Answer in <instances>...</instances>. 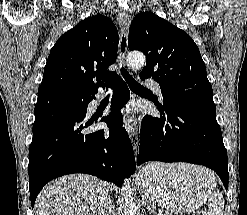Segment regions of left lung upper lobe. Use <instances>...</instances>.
I'll list each match as a JSON object with an SVG mask.
<instances>
[{"instance_id": "5c2ea615", "label": "left lung upper lobe", "mask_w": 247, "mask_h": 215, "mask_svg": "<svg viewBox=\"0 0 247 215\" xmlns=\"http://www.w3.org/2000/svg\"><path fill=\"white\" fill-rule=\"evenodd\" d=\"M128 47L146 55L140 77H152L159 83L163 109L182 103L215 107L205 63L186 32L152 12H142L131 23Z\"/></svg>"}]
</instances>
